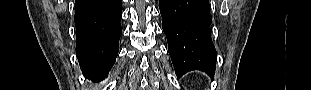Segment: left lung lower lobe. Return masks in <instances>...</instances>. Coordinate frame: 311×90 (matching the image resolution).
Masks as SVG:
<instances>
[{
  "mask_svg": "<svg viewBox=\"0 0 311 90\" xmlns=\"http://www.w3.org/2000/svg\"><path fill=\"white\" fill-rule=\"evenodd\" d=\"M163 31L175 73L201 70L213 77L217 53L209 26V0H159Z\"/></svg>",
  "mask_w": 311,
  "mask_h": 90,
  "instance_id": "obj_1",
  "label": "left lung lower lobe"
}]
</instances>
